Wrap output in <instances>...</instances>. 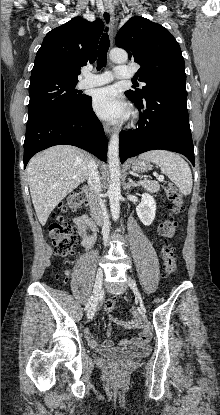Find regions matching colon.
<instances>
[{
	"instance_id": "colon-1",
	"label": "colon",
	"mask_w": 220,
	"mask_h": 415,
	"mask_svg": "<svg viewBox=\"0 0 220 415\" xmlns=\"http://www.w3.org/2000/svg\"><path fill=\"white\" fill-rule=\"evenodd\" d=\"M164 190L170 204V213L160 222L158 233L165 240L174 237L176 233V222L174 215L180 213L183 208V197L180 192L170 183L164 182ZM86 196L83 192L71 193L67 200L60 206L61 214L55 215V221L49 226V234L54 242L55 253L61 257H68L72 254L73 248L77 243V230L74 226L64 221L63 214L78 211L86 204ZM162 260L164 272L167 276L173 275L177 270V259L174 248L164 243L162 247ZM105 311L112 313L116 309V301L109 299L105 303ZM147 333L142 334L143 339H147Z\"/></svg>"
}]
</instances>
